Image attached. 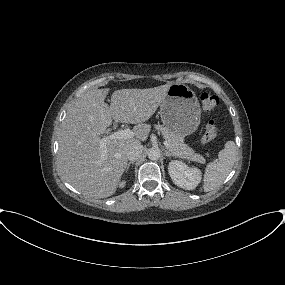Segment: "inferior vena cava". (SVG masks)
<instances>
[{"mask_svg":"<svg viewBox=\"0 0 285 285\" xmlns=\"http://www.w3.org/2000/svg\"><path fill=\"white\" fill-rule=\"evenodd\" d=\"M143 152V146L141 143L134 144L133 146L130 147V149L127 152V158L130 161H135L138 158H140L141 154Z\"/></svg>","mask_w":285,"mask_h":285,"instance_id":"602c4592","label":"inferior vena cava"}]
</instances>
